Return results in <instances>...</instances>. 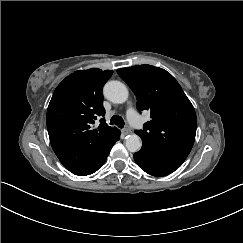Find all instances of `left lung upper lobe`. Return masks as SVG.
I'll return each instance as SVG.
<instances>
[{
  "label": "left lung upper lobe",
  "mask_w": 243,
  "mask_h": 243,
  "mask_svg": "<svg viewBox=\"0 0 243 243\" xmlns=\"http://www.w3.org/2000/svg\"><path fill=\"white\" fill-rule=\"evenodd\" d=\"M137 98L138 110H149L152 120L135 131L142 143L187 157L193 147L197 118L193 105L166 70L139 65L117 70Z\"/></svg>",
  "instance_id": "5c2ea615"
}]
</instances>
